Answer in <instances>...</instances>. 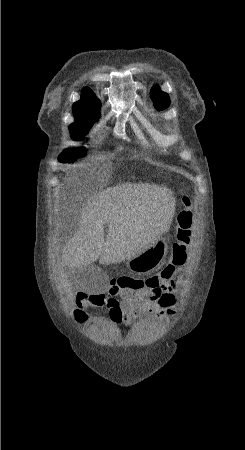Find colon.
<instances>
[{"label": "colon", "mask_w": 245, "mask_h": 450, "mask_svg": "<svg viewBox=\"0 0 245 450\" xmlns=\"http://www.w3.org/2000/svg\"><path fill=\"white\" fill-rule=\"evenodd\" d=\"M182 209L176 217V241L172 245L171 253L167 263V272L171 269L183 265L187 260L188 250L191 246L193 233V211L192 201L189 197L182 198ZM146 279L143 277L123 276L114 280V285L123 290L130 292L138 291L145 286ZM84 294H78L75 300L84 298ZM86 319V315L82 312L77 313L76 321L81 327Z\"/></svg>", "instance_id": "colon-1"}]
</instances>
